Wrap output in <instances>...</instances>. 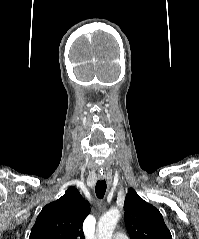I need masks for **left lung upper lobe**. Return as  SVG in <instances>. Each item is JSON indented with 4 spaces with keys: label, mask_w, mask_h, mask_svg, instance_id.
<instances>
[{
    "label": "left lung upper lobe",
    "mask_w": 199,
    "mask_h": 239,
    "mask_svg": "<svg viewBox=\"0 0 199 239\" xmlns=\"http://www.w3.org/2000/svg\"><path fill=\"white\" fill-rule=\"evenodd\" d=\"M124 210L131 239H172L159 210L140 198L133 188L126 194Z\"/></svg>",
    "instance_id": "obj_1"
}]
</instances>
